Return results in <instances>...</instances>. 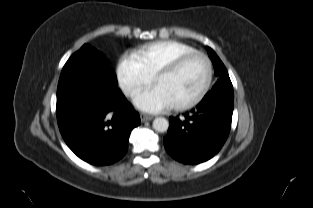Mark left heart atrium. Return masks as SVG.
<instances>
[{
	"label": "left heart atrium",
	"instance_id": "obj_1",
	"mask_svg": "<svg viewBox=\"0 0 313 208\" xmlns=\"http://www.w3.org/2000/svg\"><path fill=\"white\" fill-rule=\"evenodd\" d=\"M134 104L140 110L149 113H159L170 109L174 105L171 98L159 85H154L136 93Z\"/></svg>",
	"mask_w": 313,
	"mask_h": 208
}]
</instances>
